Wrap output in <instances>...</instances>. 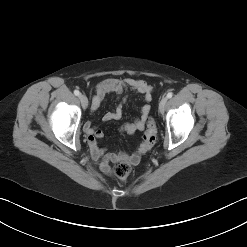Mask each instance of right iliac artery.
<instances>
[{
  "instance_id": "obj_1",
  "label": "right iliac artery",
  "mask_w": 247,
  "mask_h": 247,
  "mask_svg": "<svg viewBox=\"0 0 247 247\" xmlns=\"http://www.w3.org/2000/svg\"><path fill=\"white\" fill-rule=\"evenodd\" d=\"M74 94H75L76 96H79V95H80V92H79L78 90H75V91H74Z\"/></svg>"
}]
</instances>
